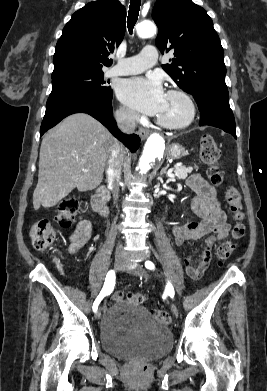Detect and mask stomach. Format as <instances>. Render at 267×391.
<instances>
[{
    "label": "stomach",
    "mask_w": 267,
    "mask_h": 391,
    "mask_svg": "<svg viewBox=\"0 0 267 391\" xmlns=\"http://www.w3.org/2000/svg\"><path fill=\"white\" fill-rule=\"evenodd\" d=\"M187 154L186 150L179 144H172L168 149V156L173 159H180Z\"/></svg>",
    "instance_id": "obj_1"
}]
</instances>
